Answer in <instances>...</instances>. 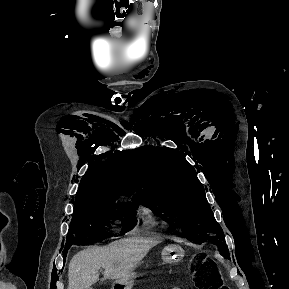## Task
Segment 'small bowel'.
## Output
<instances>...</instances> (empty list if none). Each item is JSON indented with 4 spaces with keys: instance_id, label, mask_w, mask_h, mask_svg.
<instances>
[{
    "instance_id": "small-bowel-1",
    "label": "small bowel",
    "mask_w": 289,
    "mask_h": 289,
    "mask_svg": "<svg viewBox=\"0 0 289 289\" xmlns=\"http://www.w3.org/2000/svg\"><path fill=\"white\" fill-rule=\"evenodd\" d=\"M173 289H180V288H178V287H175V288H173Z\"/></svg>"
}]
</instances>
